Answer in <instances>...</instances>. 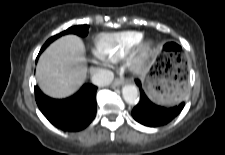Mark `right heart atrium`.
Listing matches in <instances>:
<instances>
[{"mask_svg":"<svg viewBox=\"0 0 225 155\" xmlns=\"http://www.w3.org/2000/svg\"><path fill=\"white\" fill-rule=\"evenodd\" d=\"M93 63L95 64H106L107 60L99 56L97 53L94 54V57L92 59Z\"/></svg>","mask_w":225,"mask_h":155,"instance_id":"obj_1","label":"right heart atrium"}]
</instances>
